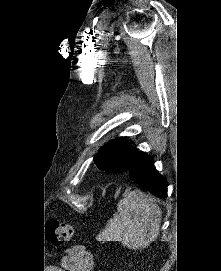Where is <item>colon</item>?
I'll use <instances>...</instances> for the list:
<instances>
[{
    "instance_id": "1",
    "label": "colon",
    "mask_w": 221,
    "mask_h": 271,
    "mask_svg": "<svg viewBox=\"0 0 221 271\" xmlns=\"http://www.w3.org/2000/svg\"><path fill=\"white\" fill-rule=\"evenodd\" d=\"M49 228L53 242L56 244L67 243L71 239L74 232L70 224L62 222L58 223L56 221H51L49 223Z\"/></svg>"
}]
</instances>
